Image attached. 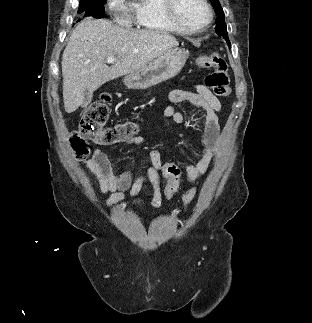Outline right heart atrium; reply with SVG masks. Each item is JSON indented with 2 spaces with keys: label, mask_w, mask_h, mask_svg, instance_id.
Wrapping results in <instances>:
<instances>
[{
  "label": "right heart atrium",
  "mask_w": 312,
  "mask_h": 323,
  "mask_svg": "<svg viewBox=\"0 0 312 323\" xmlns=\"http://www.w3.org/2000/svg\"><path fill=\"white\" fill-rule=\"evenodd\" d=\"M104 5H112L113 9H120L123 17H135V10H127L124 2L120 0H103Z\"/></svg>",
  "instance_id": "obj_1"
}]
</instances>
